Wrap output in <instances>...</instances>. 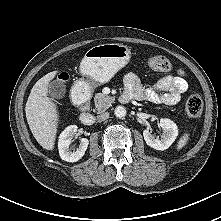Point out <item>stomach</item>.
<instances>
[{
    "label": "stomach",
    "mask_w": 221,
    "mask_h": 221,
    "mask_svg": "<svg viewBox=\"0 0 221 221\" xmlns=\"http://www.w3.org/2000/svg\"><path fill=\"white\" fill-rule=\"evenodd\" d=\"M131 51L123 44H102L90 48L80 63V73L87 88L108 82L130 60Z\"/></svg>",
    "instance_id": "obj_1"
}]
</instances>
